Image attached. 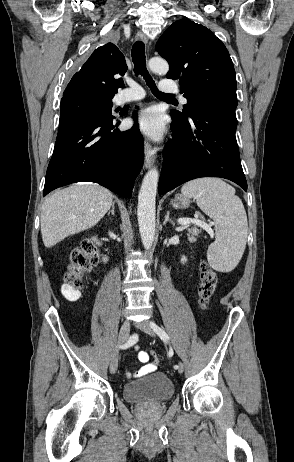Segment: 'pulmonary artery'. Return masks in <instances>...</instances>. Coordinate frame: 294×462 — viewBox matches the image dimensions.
Masks as SVG:
<instances>
[{
    "label": "pulmonary artery",
    "instance_id": "pulmonary-artery-1",
    "mask_svg": "<svg viewBox=\"0 0 294 462\" xmlns=\"http://www.w3.org/2000/svg\"><path fill=\"white\" fill-rule=\"evenodd\" d=\"M168 80H164L160 85V90L166 94L176 93L177 92V85L168 83ZM145 97V91L143 88L134 81H128V88L121 91L118 96V100L120 103H126L131 101L141 100ZM180 101L183 104L187 103V99L182 95L179 96Z\"/></svg>",
    "mask_w": 294,
    "mask_h": 462
}]
</instances>
